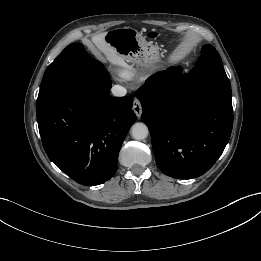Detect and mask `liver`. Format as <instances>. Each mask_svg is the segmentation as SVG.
Segmentation results:
<instances>
[{
    "instance_id": "6515ba94",
    "label": "liver",
    "mask_w": 261,
    "mask_h": 261,
    "mask_svg": "<svg viewBox=\"0 0 261 261\" xmlns=\"http://www.w3.org/2000/svg\"><path fill=\"white\" fill-rule=\"evenodd\" d=\"M105 36L106 32L93 36L91 39L93 46L97 51L103 53L112 64L125 68L127 66L126 60L105 41Z\"/></svg>"
}]
</instances>
